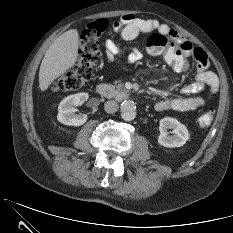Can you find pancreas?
<instances>
[{
    "instance_id": "pancreas-1",
    "label": "pancreas",
    "mask_w": 233,
    "mask_h": 233,
    "mask_svg": "<svg viewBox=\"0 0 233 233\" xmlns=\"http://www.w3.org/2000/svg\"><path fill=\"white\" fill-rule=\"evenodd\" d=\"M112 92L113 95H116L120 92H126V89L124 88L123 84H118V81H115L114 85L112 86Z\"/></svg>"
}]
</instances>
